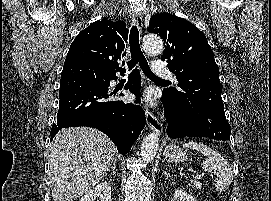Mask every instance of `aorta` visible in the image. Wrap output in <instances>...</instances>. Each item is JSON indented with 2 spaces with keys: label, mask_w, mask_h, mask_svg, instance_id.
<instances>
[{
  "label": "aorta",
  "mask_w": 271,
  "mask_h": 201,
  "mask_svg": "<svg viewBox=\"0 0 271 201\" xmlns=\"http://www.w3.org/2000/svg\"><path fill=\"white\" fill-rule=\"evenodd\" d=\"M143 47L148 54H158L163 49L162 39L155 34H147L143 38ZM158 134L149 133L143 139L141 145V157L145 162H151L158 150Z\"/></svg>",
  "instance_id": "obj_1"
}]
</instances>
